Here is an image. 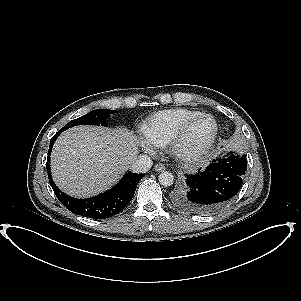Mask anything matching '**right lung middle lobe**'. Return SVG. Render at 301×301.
I'll return each mask as SVG.
<instances>
[{
	"label": "right lung middle lobe",
	"instance_id": "right-lung-middle-lobe-1",
	"mask_svg": "<svg viewBox=\"0 0 301 301\" xmlns=\"http://www.w3.org/2000/svg\"><path fill=\"white\" fill-rule=\"evenodd\" d=\"M116 111L113 110H107V109H99L89 112L88 114L79 117L77 119H74L70 121L68 124H66L62 130H66L70 127L76 126V125H104L105 118L110 115L111 113H115Z\"/></svg>",
	"mask_w": 301,
	"mask_h": 301
}]
</instances>
